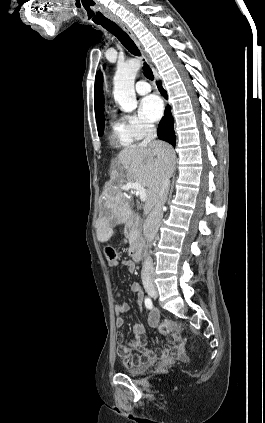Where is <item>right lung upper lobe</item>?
Masks as SVG:
<instances>
[{"label": "right lung upper lobe", "instance_id": "1", "mask_svg": "<svg viewBox=\"0 0 265 423\" xmlns=\"http://www.w3.org/2000/svg\"><path fill=\"white\" fill-rule=\"evenodd\" d=\"M99 75H100L99 73L96 75L95 88H94L95 115H96L97 121L101 117H103V112H104V98H103V92L100 86Z\"/></svg>", "mask_w": 265, "mask_h": 423}]
</instances>
